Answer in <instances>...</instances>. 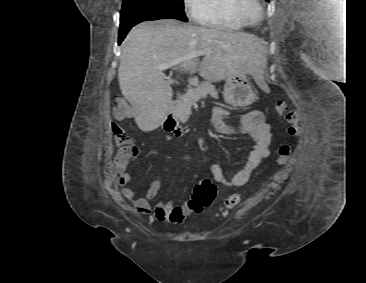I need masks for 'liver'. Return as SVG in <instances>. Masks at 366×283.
Wrapping results in <instances>:
<instances>
[{"label":"liver","instance_id":"1","mask_svg":"<svg viewBox=\"0 0 366 283\" xmlns=\"http://www.w3.org/2000/svg\"><path fill=\"white\" fill-rule=\"evenodd\" d=\"M262 40L254 35L184 24L175 19L143 22L131 29L121 46L118 79L123 96L134 109L138 127L150 132L162 125L172 109V88L161 64L186 73L199 72L219 82L234 73H248L259 82L266 65ZM206 50L200 62L198 51Z\"/></svg>","mask_w":366,"mask_h":283}]
</instances>
